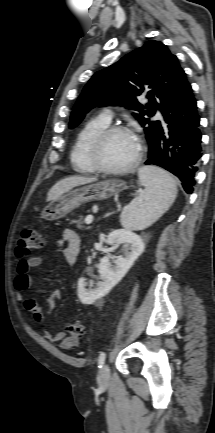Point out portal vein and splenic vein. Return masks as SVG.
Wrapping results in <instances>:
<instances>
[{
    "label": "portal vein and splenic vein",
    "mask_w": 215,
    "mask_h": 433,
    "mask_svg": "<svg viewBox=\"0 0 215 433\" xmlns=\"http://www.w3.org/2000/svg\"><path fill=\"white\" fill-rule=\"evenodd\" d=\"M93 219H94V216H93V215H88V216L85 218V223H86L87 225H89V224H91V223L93 222Z\"/></svg>",
    "instance_id": "obj_1"
}]
</instances>
